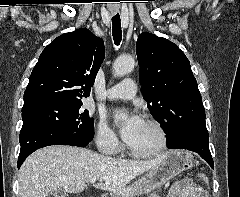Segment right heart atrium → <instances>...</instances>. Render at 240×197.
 Here are the masks:
<instances>
[{"label": "right heart atrium", "mask_w": 240, "mask_h": 197, "mask_svg": "<svg viewBox=\"0 0 240 197\" xmlns=\"http://www.w3.org/2000/svg\"><path fill=\"white\" fill-rule=\"evenodd\" d=\"M95 142L98 149L107 154H114L120 148V142L116 133L104 120H101L98 123L95 134Z\"/></svg>", "instance_id": "right-heart-atrium-1"}]
</instances>
